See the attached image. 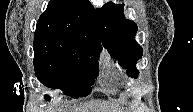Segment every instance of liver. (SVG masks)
Returning a JSON list of instances; mask_svg holds the SVG:
<instances>
[{"label": "liver", "mask_w": 193, "mask_h": 112, "mask_svg": "<svg viewBox=\"0 0 193 112\" xmlns=\"http://www.w3.org/2000/svg\"><path fill=\"white\" fill-rule=\"evenodd\" d=\"M113 108V105H109V103L96 101L92 105L76 109L75 112H112L114 110Z\"/></svg>", "instance_id": "obj_1"}]
</instances>
